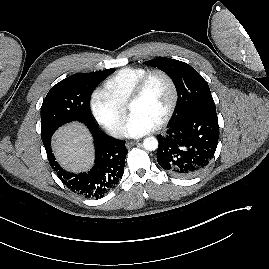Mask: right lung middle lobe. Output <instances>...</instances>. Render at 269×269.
Returning a JSON list of instances; mask_svg holds the SVG:
<instances>
[{
  "label": "right lung middle lobe",
  "mask_w": 269,
  "mask_h": 269,
  "mask_svg": "<svg viewBox=\"0 0 269 269\" xmlns=\"http://www.w3.org/2000/svg\"><path fill=\"white\" fill-rule=\"evenodd\" d=\"M114 68L86 74H74L54 85L41 107V138L47 142L61 125L80 121L86 126L97 124L89 110V99L93 89Z\"/></svg>",
  "instance_id": "dd1d6c3e"
}]
</instances>
